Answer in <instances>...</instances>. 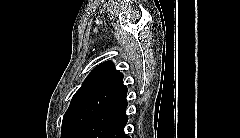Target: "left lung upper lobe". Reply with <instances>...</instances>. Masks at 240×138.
Instances as JSON below:
<instances>
[{
    "instance_id": "1",
    "label": "left lung upper lobe",
    "mask_w": 240,
    "mask_h": 138,
    "mask_svg": "<svg viewBox=\"0 0 240 138\" xmlns=\"http://www.w3.org/2000/svg\"><path fill=\"white\" fill-rule=\"evenodd\" d=\"M123 74L111 61L101 63L74 94L62 122L61 138H79L85 127L122 85Z\"/></svg>"
}]
</instances>
